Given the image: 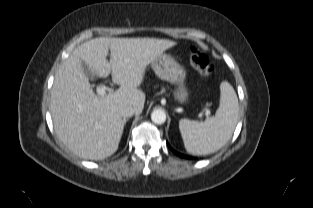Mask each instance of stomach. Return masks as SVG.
I'll use <instances>...</instances> for the list:
<instances>
[{"label": "stomach", "instance_id": "stomach-1", "mask_svg": "<svg viewBox=\"0 0 313 208\" xmlns=\"http://www.w3.org/2000/svg\"><path fill=\"white\" fill-rule=\"evenodd\" d=\"M155 74L162 80L176 85L174 98L183 104L188 100L189 92L185 85V69L170 55L160 54L151 62Z\"/></svg>", "mask_w": 313, "mask_h": 208}]
</instances>
